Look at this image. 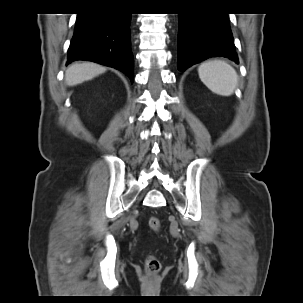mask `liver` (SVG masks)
<instances>
[{
  "label": "liver",
  "instance_id": "liver-1",
  "mask_svg": "<svg viewBox=\"0 0 303 303\" xmlns=\"http://www.w3.org/2000/svg\"><path fill=\"white\" fill-rule=\"evenodd\" d=\"M105 71V67L96 63H75L66 70L65 82L68 86H74L83 83L84 81L91 80Z\"/></svg>",
  "mask_w": 303,
  "mask_h": 303
}]
</instances>
